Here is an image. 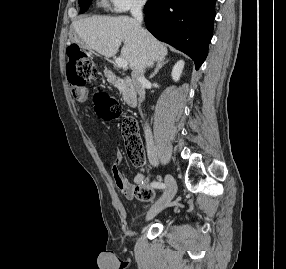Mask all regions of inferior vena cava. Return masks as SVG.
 Masks as SVG:
<instances>
[{
    "instance_id": "602c4592",
    "label": "inferior vena cava",
    "mask_w": 286,
    "mask_h": 269,
    "mask_svg": "<svg viewBox=\"0 0 286 269\" xmlns=\"http://www.w3.org/2000/svg\"><path fill=\"white\" fill-rule=\"evenodd\" d=\"M131 14L134 17V19L137 21V23L141 25L143 21L142 5H136L135 7H133L131 10ZM132 78H133L134 86L139 95V102H142L145 98V84L147 80L144 77L143 72L133 73ZM144 132H145L148 158L150 160H153L155 158V147H154L151 130L147 124L144 127Z\"/></svg>"
}]
</instances>
